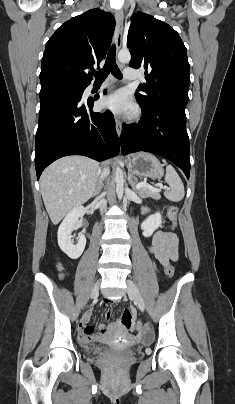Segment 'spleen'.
I'll use <instances>...</instances> for the list:
<instances>
[{
  "label": "spleen",
  "instance_id": "3e777b00",
  "mask_svg": "<svg viewBox=\"0 0 235 404\" xmlns=\"http://www.w3.org/2000/svg\"><path fill=\"white\" fill-rule=\"evenodd\" d=\"M163 162L166 165L165 181L171 189L170 191H166L164 195L170 201L179 202L185 195L184 185L175 169L171 165H167L165 160Z\"/></svg>",
  "mask_w": 235,
  "mask_h": 404
}]
</instances>
